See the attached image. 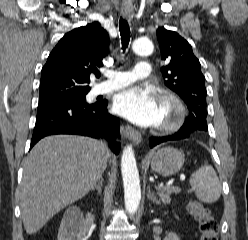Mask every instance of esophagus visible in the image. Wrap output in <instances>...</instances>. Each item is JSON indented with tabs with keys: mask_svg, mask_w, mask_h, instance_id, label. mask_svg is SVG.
<instances>
[{
	"mask_svg": "<svg viewBox=\"0 0 248 240\" xmlns=\"http://www.w3.org/2000/svg\"><path fill=\"white\" fill-rule=\"evenodd\" d=\"M124 17L131 19L133 17V8L131 6H124L121 11ZM120 132L127 139L131 140L135 144H139L142 140V136L139 131L135 130L131 126L122 125Z\"/></svg>",
	"mask_w": 248,
	"mask_h": 240,
	"instance_id": "1",
	"label": "esophagus"
}]
</instances>
